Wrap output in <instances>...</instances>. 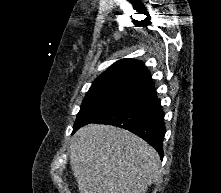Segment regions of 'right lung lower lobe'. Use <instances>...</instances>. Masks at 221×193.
Masks as SVG:
<instances>
[{"label":"right lung lower lobe","mask_w":221,"mask_h":193,"mask_svg":"<svg viewBox=\"0 0 221 193\" xmlns=\"http://www.w3.org/2000/svg\"><path fill=\"white\" fill-rule=\"evenodd\" d=\"M89 123L110 124L129 130L153 146L161 159L163 158V140L166 128L164 113L154 84L145 88L123 106Z\"/></svg>","instance_id":"right-lung-lower-lobe-1"}]
</instances>
